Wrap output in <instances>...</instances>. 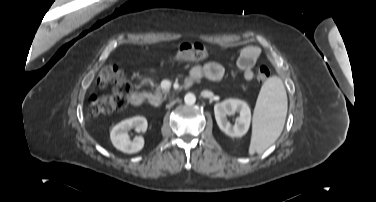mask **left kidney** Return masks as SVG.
<instances>
[{
	"label": "left kidney",
	"instance_id": "obj_1",
	"mask_svg": "<svg viewBox=\"0 0 376 202\" xmlns=\"http://www.w3.org/2000/svg\"><path fill=\"white\" fill-rule=\"evenodd\" d=\"M238 113L239 117L234 125L227 119V115ZM214 114L219 128L230 137H242L249 129L251 110L248 104L239 99H226L215 104Z\"/></svg>",
	"mask_w": 376,
	"mask_h": 202
}]
</instances>
